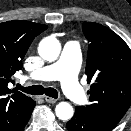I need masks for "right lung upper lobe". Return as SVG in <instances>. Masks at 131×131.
Here are the masks:
<instances>
[{
	"mask_svg": "<svg viewBox=\"0 0 131 131\" xmlns=\"http://www.w3.org/2000/svg\"><path fill=\"white\" fill-rule=\"evenodd\" d=\"M47 27L27 21L0 23V131H19L34 108L32 98L9 89L8 83L22 68L33 39Z\"/></svg>",
	"mask_w": 131,
	"mask_h": 131,
	"instance_id": "1",
	"label": "right lung upper lobe"
}]
</instances>
